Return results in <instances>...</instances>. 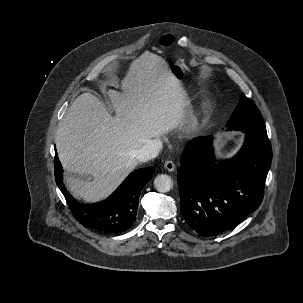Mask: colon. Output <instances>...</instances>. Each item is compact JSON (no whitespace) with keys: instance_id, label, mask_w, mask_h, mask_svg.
I'll use <instances>...</instances> for the list:
<instances>
[{"instance_id":"colon-1","label":"colon","mask_w":303,"mask_h":303,"mask_svg":"<svg viewBox=\"0 0 303 303\" xmlns=\"http://www.w3.org/2000/svg\"><path fill=\"white\" fill-rule=\"evenodd\" d=\"M174 38L171 35H165L164 37H162L161 39V44L164 47H170L173 44Z\"/></svg>"}]
</instances>
